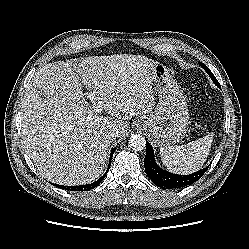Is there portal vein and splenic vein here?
Masks as SVG:
<instances>
[{
    "instance_id": "18ae733b",
    "label": "portal vein and splenic vein",
    "mask_w": 249,
    "mask_h": 249,
    "mask_svg": "<svg viewBox=\"0 0 249 249\" xmlns=\"http://www.w3.org/2000/svg\"><path fill=\"white\" fill-rule=\"evenodd\" d=\"M87 97L91 100L92 104H93V107H94V110L97 112V113H100L101 112V102L98 101V97H97V94L96 92H93V93H88L87 94Z\"/></svg>"
}]
</instances>
